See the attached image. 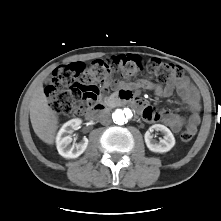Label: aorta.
<instances>
[{"label":"aorta","instance_id":"obj_1","mask_svg":"<svg viewBox=\"0 0 221 221\" xmlns=\"http://www.w3.org/2000/svg\"><path fill=\"white\" fill-rule=\"evenodd\" d=\"M133 116L132 111L128 108L116 110L112 114V119L114 123L118 125H123L127 120L131 119Z\"/></svg>","mask_w":221,"mask_h":221}]
</instances>
